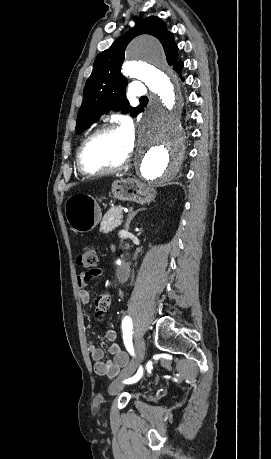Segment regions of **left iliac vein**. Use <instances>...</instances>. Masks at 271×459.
Masks as SVG:
<instances>
[{
    "mask_svg": "<svg viewBox=\"0 0 271 459\" xmlns=\"http://www.w3.org/2000/svg\"><path fill=\"white\" fill-rule=\"evenodd\" d=\"M145 356V342L143 337H140L135 342V358L130 361L128 366L122 371L119 378H128L130 377L136 370L139 362L144 359ZM124 383L119 382L118 380L114 381L110 384L108 388V392L110 395L118 394L124 387Z\"/></svg>",
    "mask_w": 271,
    "mask_h": 459,
    "instance_id": "1",
    "label": "left iliac vein"
}]
</instances>
